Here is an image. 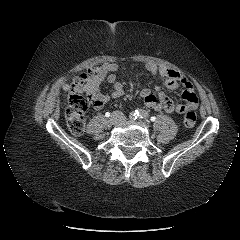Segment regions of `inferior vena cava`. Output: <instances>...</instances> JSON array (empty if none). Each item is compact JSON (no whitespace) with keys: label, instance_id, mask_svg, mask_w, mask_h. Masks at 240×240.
Returning <instances> with one entry per match:
<instances>
[{"label":"inferior vena cava","instance_id":"inferior-vena-cava-1","mask_svg":"<svg viewBox=\"0 0 240 240\" xmlns=\"http://www.w3.org/2000/svg\"><path fill=\"white\" fill-rule=\"evenodd\" d=\"M114 119L116 120V122H124L125 116L122 112L116 111L114 112Z\"/></svg>","mask_w":240,"mask_h":240}]
</instances>
